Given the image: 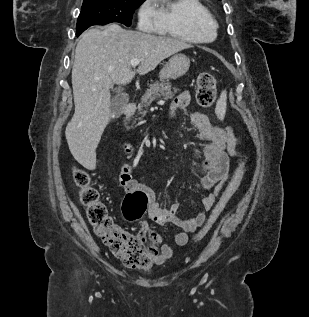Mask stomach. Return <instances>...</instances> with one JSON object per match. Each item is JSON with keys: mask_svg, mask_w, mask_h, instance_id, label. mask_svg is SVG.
I'll list each match as a JSON object with an SVG mask.
<instances>
[{"mask_svg": "<svg viewBox=\"0 0 309 317\" xmlns=\"http://www.w3.org/2000/svg\"><path fill=\"white\" fill-rule=\"evenodd\" d=\"M190 67V59L185 54L173 55L160 71L159 77L164 79H177L187 73Z\"/></svg>", "mask_w": 309, "mask_h": 317, "instance_id": "0dacf381", "label": "stomach"}]
</instances>
